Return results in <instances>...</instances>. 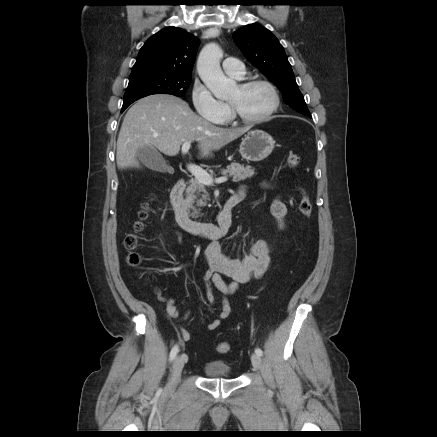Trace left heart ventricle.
<instances>
[{
    "mask_svg": "<svg viewBox=\"0 0 437 437\" xmlns=\"http://www.w3.org/2000/svg\"><path fill=\"white\" fill-rule=\"evenodd\" d=\"M239 112L246 117H258L264 114L271 106L273 98L270 90L257 85L248 89L237 86L229 97Z\"/></svg>",
    "mask_w": 437,
    "mask_h": 437,
    "instance_id": "left-heart-ventricle-1",
    "label": "left heart ventricle"
}]
</instances>
